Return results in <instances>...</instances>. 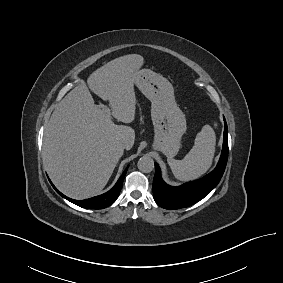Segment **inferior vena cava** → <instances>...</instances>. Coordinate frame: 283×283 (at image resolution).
Here are the masks:
<instances>
[{"instance_id": "602c4592", "label": "inferior vena cava", "mask_w": 283, "mask_h": 283, "mask_svg": "<svg viewBox=\"0 0 283 283\" xmlns=\"http://www.w3.org/2000/svg\"><path fill=\"white\" fill-rule=\"evenodd\" d=\"M121 147H122L123 149H125V148L127 149V147H128V146H127V143H126V142L121 143Z\"/></svg>"}]
</instances>
